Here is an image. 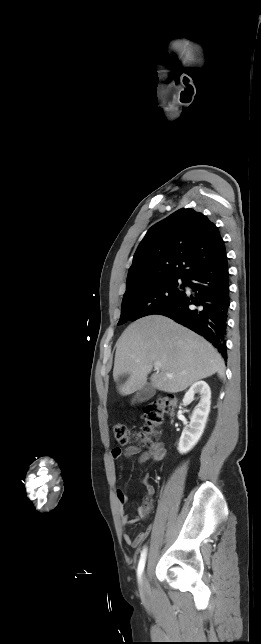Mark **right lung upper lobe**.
<instances>
[{
  "label": "right lung upper lobe",
  "mask_w": 261,
  "mask_h": 644,
  "mask_svg": "<svg viewBox=\"0 0 261 644\" xmlns=\"http://www.w3.org/2000/svg\"><path fill=\"white\" fill-rule=\"evenodd\" d=\"M225 257L218 228L203 214L180 209L148 230L129 268L127 289L168 278L184 279Z\"/></svg>",
  "instance_id": "1"
}]
</instances>
